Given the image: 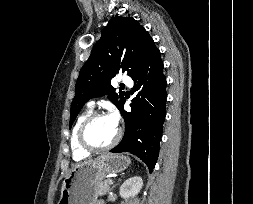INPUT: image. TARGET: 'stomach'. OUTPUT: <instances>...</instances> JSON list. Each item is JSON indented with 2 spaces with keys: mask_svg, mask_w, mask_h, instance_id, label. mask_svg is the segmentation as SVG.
<instances>
[{
  "mask_svg": "<svg viewBox=\"0 0 253 204\" xmlns=\"http://www.w3.org/2000/svg\"><path fill=\"white\" fill-rule=\"evenodd\" d=\"M131 163L129 157L102 154L74 167L65 177L58 204H96V185L110 173L124 171Z\"/></svg>",
  "mask_w": 253,
  "mask_h": 204,
  "instance_id": "1",
  "label": "stomach"
}]
</instances>
